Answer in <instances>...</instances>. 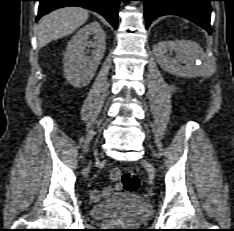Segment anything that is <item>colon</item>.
<instances>
[{
	"label": "colon",
	"mask_w": 234,
	"mask_h": 231,
	"mask_svg": "<svg viewBox=\"0 0 234 231\" xmlns=\"http://www.w3.org/2000/svg\"><path fill=\"white\" fill-rule=\"evenodd\" d=\"M110 175L112 179H120L126 192L133 193L140 188V179L134 171L120 172L118 169H113Z\"/></svg>",
	"instance_id": "1"
}]
</instances>
